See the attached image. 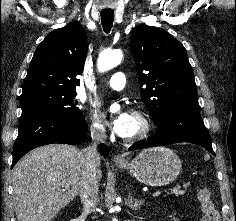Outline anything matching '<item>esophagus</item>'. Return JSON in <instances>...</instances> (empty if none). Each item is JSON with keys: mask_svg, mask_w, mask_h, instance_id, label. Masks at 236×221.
Returning a JSON list of instances; mask_svg holds the SVG:
<instances>
[{"mask_svg": "<svg viewBox=\"0 0 236 221\" xmlns=\"http://www.w3.org/2000/svg\"><path fill=\"white\" fill-rule=\"evenodd\" d=\"M113 160H114V162H116V163H121V162L124 161V157H122L121 155H115V156L113 157Z\"/></svg>", "mask_w": 236, "mask_h": 221, "instance_id": "34e87169", "label": "esophagus"}]
</instances>
